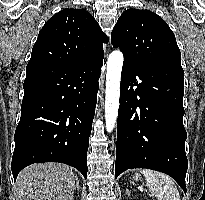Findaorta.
<instances>
[{
	"instance_id": "aorta-1",
	"label": "aorta",
	"mask_w": 205,
	"mask_h": 200,
	"mask_svg": "<svg viewBox=\"0 0 205 200\" xmlns=\"http://www.w3.org/2000/svg\"><path fill=\"white\" fill-rule=\"evenodd\" d=\"M122 66L123 54L120 50H114L109 55L107 61L105 92V123L107 132L113 131L118 116Z\"/></svg>"
}]
</instances>
